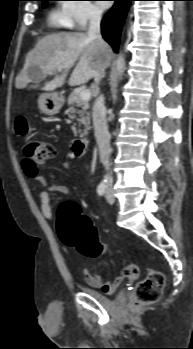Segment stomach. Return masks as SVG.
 <instances>
[{
    "mask_svg": "<svg viewBox=\"0 0 193 349\" xmlns=\"http://www.w3.org/2000/svg\"><path fill=\"white\" fill-rule=\"evenodd\" d=\"M63 105V98L56 92L42 93L38 98V106L45 115H55Z\"/></svg>",
    "mask_w": 193,
    "mask_h": 349,
    "instance_id": "obj_1",
    "label": "stomach"
}]
</instances>
